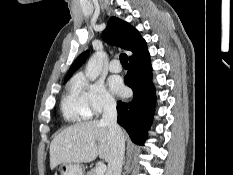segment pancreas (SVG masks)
I'll return each mask as SVG.
<instances>
[{
  "label": "pancreas",
  "instance_id": "cf45deb5",
  "mask_svg": "<svg viewBox=\"0 0 233 175\" xmlns=\"http://www.w3.org/2000/svg\"><path fill=\"white\" fill-rule=\"evenodd\" d=\"M87 175H97L96 170H91L87 173Z\"/></svg>",
  "mask_w": 233,
  "mask_h": 175
}]
</instances>
